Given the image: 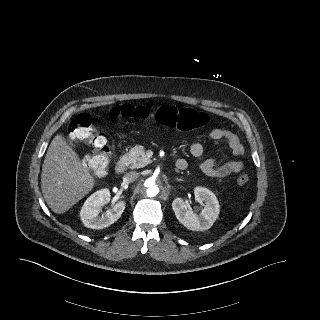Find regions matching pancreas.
<instances>
[{
  "instance_id": "cf45deb5",
  "label": "pancreas",
  "mask_w": 320,
  "mask_h": 320,
  "mask_svg": "<svg viewBox=\"0 0 320 320\" xmlns=\"http://www.w3.org/2000/svg\"><path fill=\"white\" fill-rule=\"evenodd\" d=\"M121 161L129 166L130 169L145 167L149 160L146 158L144 148L142 146H135L121 157Z\"/></svg>"
}]
</instances>
